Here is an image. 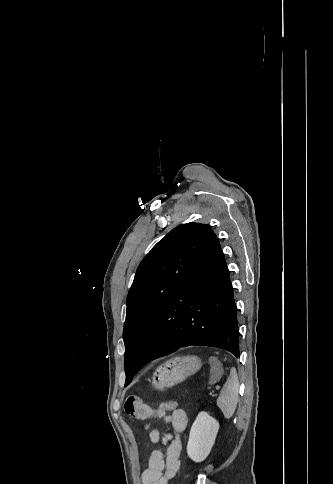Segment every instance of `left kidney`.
<instances>
[{"mask_svg": "<svg viewBox=\"0 0 333 484\" xmlns=\"http://www.w3.org/2000/svg\"><path fill=\"white\" fill-rule=\"evenodd\" d=\"M219 430V423L206 412H200L194 421L187 444V454L195 462L209 455Z\"/></svg>", "mask_w": 333, "mask_h": 484, "instance_id": "left-kidney-1", "label": "left kidney"}]
</instances>
